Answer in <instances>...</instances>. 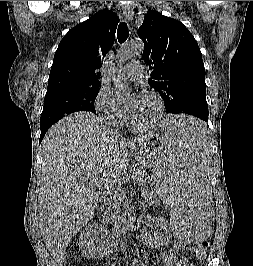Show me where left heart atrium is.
<instances>
[{
  "label": "left heart atrium",
  "instance_id": "39dd6f15",
  "mask_svg": "<svg viewBox=\"0 0 253 266\" xmlns=\"http://www.w3.org/2000/svg\"><path fill=\"white\" fill-rule=\"evenodd\" d=\"M139 97H140L139 94H134V95L131 97L130 104L128 105V110H131V108L134 106V104L136 103V101L138 100Z\"/></svg>",
  "mask_w": 253,
  "mask_h": 266
}]
</instances>
